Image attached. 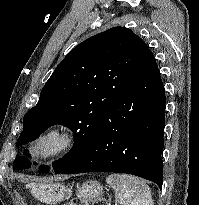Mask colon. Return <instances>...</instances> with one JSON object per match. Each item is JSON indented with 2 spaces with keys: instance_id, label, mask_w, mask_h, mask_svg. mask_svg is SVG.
Returning a JSON list of instances; mask_svg holds the SVG:
<instances>
[{
  "instance_id": "colon-1",
  "label": "colon",
  "mask_w": 199,
  "mask_h": 205,
  "mask_svg": "<svg viewBox=\"0 0 199 205\" xmlns=\"http://www.w3.org/2000/svg\"><path fill=\"white\" fill-rule=\"evenodd\" d=\"M67 205H84V204L79 202V200H72ZM93 205H107V203L104 199L101 198V199L96 200Z\"/></svg>"
}]
</instances>
